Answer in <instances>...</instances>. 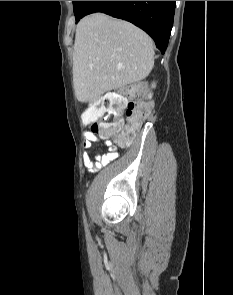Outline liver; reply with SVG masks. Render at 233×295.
Masks as SVG:
<instances>
[{
  "label": "liver",
  "mask_w": 233,
  "mask_h": 295,
  "mask_svg": "<svg viewBox=\"0 0 233 295\" xmlns=\"http://www.w3.org/2000/svg\"><path fill=\"white\" fill-rule=\"evenodd\" d=\"M154 66L152 39L130 22L93 13L77 25L73 87L80 102L146 78Z\"/></svg>",
  "instance_id": "liver-1"
}]
</instances>
